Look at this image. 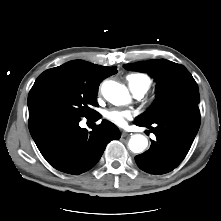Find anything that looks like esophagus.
I'll return each instance as SVG.
<instances>
[{
    "label": "esophagus",
    "instance_id": "esophagus-1",
    "mask_svg": "<svg viewBox=\"0 0 221 221\" xmlns=\"http://www.w3.org/2000/svg\"><path fill=\"white\" fill-rule=\"evenodd\" d=\"M129 134V132H127V131H123L122 132V136H126V135H128Z\"/></svg>",
    "mask_w": 221,
    "mask_h": 221
}]
</instances>
